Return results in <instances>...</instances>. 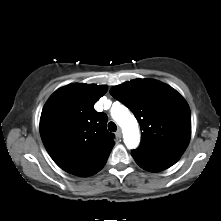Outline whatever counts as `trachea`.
<instances>
[{
    "instance_id": "trachea-1",
    "label": "trachea",
    "mask_w": 221,
    "mask_h": 221,
    "mask_svg": "<svg viewBox=\"0 0 221 221\" xmlns=\"http://www.w3.org/2000/svg\"><path fill=\"white\" fill-rule=\"evenodd\" d=\"M108 129L111 132H115L117 130V126H116V124L114 122H109L108 123Z\"/></svg>"
}]
</instances>
